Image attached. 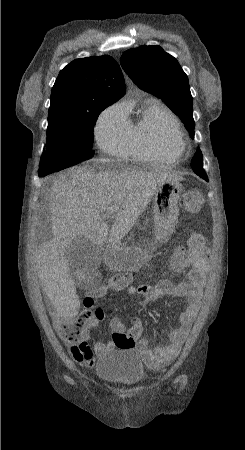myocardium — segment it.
<instances>
[{"mask_svg": "<svg viewBox=\"0 0 245 450\" xmlns=\"http://www.w3.org/2000/svg\"><path fill=\"white\" fill-rule=\"evenodd\" d=\"M164 122L168 123L173 131H174V140L170 139L164 128L161 127V124L158 128V139L159 143L166 148L167 150L173 152L176 157H180L183 155L187 148L186 140L183 136L182 130L180 128V125L178 124L177 120L173 118L172 116L166 118ZM175 141V143H174Z\"/></svg>", "mask_w": 245, "mask_h": 450, "instance_id": "1", "label": "myocardium"}]
</instances>
